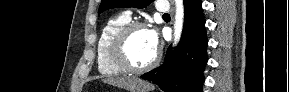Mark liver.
<instances>
[{"instance_id": "1", "label": "liver", "mask_w": 289, "mask_h": 92, "mask_svg": "<svg viewBox=\"0 0 289 92\" xmlns=\"http://www.w3.org/2000/svg\"><path fill=\"white\" fill-rule=\"evenodd\" d=\"M103 82L110 85L118 86L120 88H124L130 92H144L154 89V87L151 86L149 83L138 78H107L104 79Z\"/></svg>"}]
</instances>
